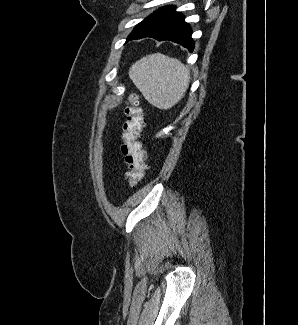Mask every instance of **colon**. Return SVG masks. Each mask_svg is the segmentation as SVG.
Wrapping results in <instances>:
<instances>
[{"instance_id": "obj_1", "label": "colon", "mask_w": 298, "mask_h": 325, "mask_svg": "<svg viewBox=\"0 0 298 325\" xmlns=\"http://www.w3.org/2000/svg\"><path fill=\"white\" fill-rule=\"evenodd\" d=\"M125 121L122 125L121 153L127 166L126 177L131 187L137 185L148 170L147 152L140 141L143 129V109L139 98L129 96L124 109Z\"/></svg>"}]
</instances>
